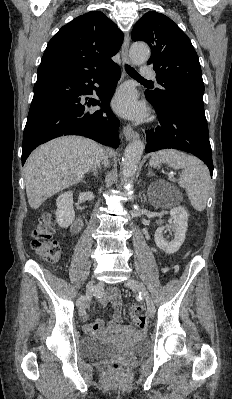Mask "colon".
<instances>
[{
    "mask_svg": "<svg viewBox=\"0 0 232 399\" xmlns=\"http://www.w3.org/2000/svg\"><path fill=\"white\" fill-rule=\"evenodd\" d=\"M51 220L47 216L39 218L35 228L29 234V241L32 244V249L44 255L48 260V267L52 271H57L61 267V262L56 258L60 253V244H53L51 242ZM132 323L133 324H148L147 313L145 308H132Z\"/></svg>",
    "mask_w": 232,
    "mask_h": 399,
    "instance_id": "1",
    "label": "colon"
}]
</instances>
